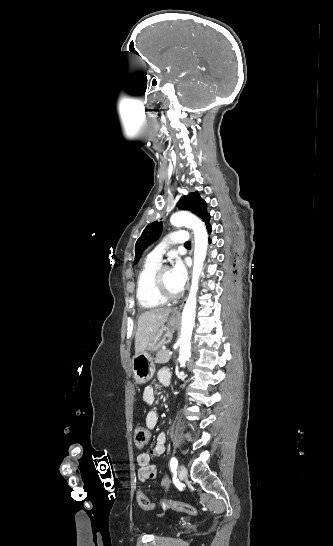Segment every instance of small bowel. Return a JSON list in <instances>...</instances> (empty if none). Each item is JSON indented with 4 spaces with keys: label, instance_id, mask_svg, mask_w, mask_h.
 Segmentation results:
<instances>
[{
    "label": "small bowel",
    "instance_id": "c3829d8e",
    "mask_svg": "<svg viewBox=\"0 0 333 546\" xmlns=\"http://www.w3.org/2000/svg\"><path fill=\"white\" fill-rule=\"evenodd\" d=\"M157 380L167 386L170 383V372L167 368H162L157 373ZM143 401L152 405L156 399L155 388L152 385L147 386L143 391ZM158 423V413L155 410H151L147 413L145 418V424L148 429H154ZM166 434L161 432L157 435L155 444L149 453H140L137 456V464L139 469L137 471V477L140 481L145 482L149 479H155L158 475V470L151 460L154 457L160 456L165 451Z\"/></svg>",
    "mask_w": 333,
    "mask_h": 546
}]
</instances>
